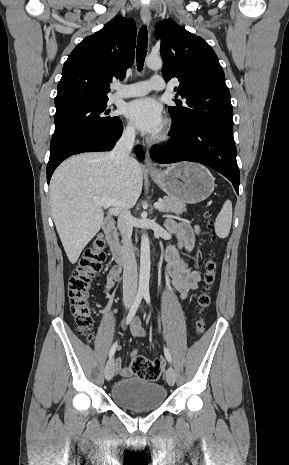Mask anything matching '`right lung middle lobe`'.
I'll use <instances>...</instances> for the list:
<instances>
[{"mask_svg":"<svg viewBox=\"0 0 289 465\" xmlns=\"http://www.w3.org/2000/svg\"><path fill=\"white\" fill-rule=\"evenodd\" d=\"M108 99L76 100L56 106L55 131L50 151L64 145L78 135L93 131H108L118 122V117L108 116Z\"/></svg>","mask_w":289,"mask_h":465,"instance_id":"right-lung-middle-lobe-1","label":"right lung middle lobe"}]
</instances>
